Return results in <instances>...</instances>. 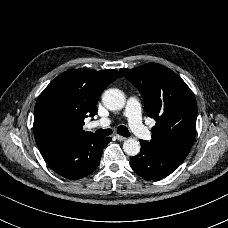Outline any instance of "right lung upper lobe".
Here are the masks:
<instances>
[{
  "label": "right lung upper lobe",
  "instance_id": "cb5924a9",
  "mask_svg": "<svg viewBox=\"0 0 228 228\" xmlns=\"http://www.w3.org/2000/svg\"><path fill=\"white\" fill-rule=\"evenodd\" d=\"M119 77L116 70L89 69L69 70L57 76L40 94L34 109L33 132L40 152L92 136L83 130L84 119L96 114L101 92ZM49 105L57 106L66 115L61 126L48 127L40 122L41 112Z\"/></svg>",
  "mask_w": 228,
  "mask_h": 228
}]
</instances>
